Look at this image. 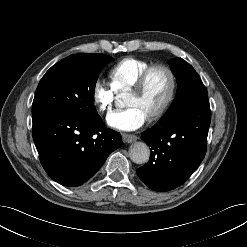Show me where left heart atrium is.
<instances>
[{"instance_id": "obj_1", "label": "left heart atrium", "mask_w": 247, "mask_h": 247, "mask_svg": "<svg viewBox=\"0 0 247 247\" xmlns=\"http://www.w3.org/2000/svg\"><path fill=\"white\" fill-rule=\"evenodd\" d=\"M148 115L138 106H131L111 113L107 118L109 126L121 131H133L147 121Z\"/></svg>"}]
</instances>
